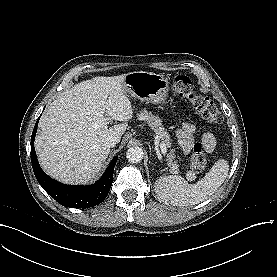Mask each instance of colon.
Wrapping results in <instances>:
<instances>
[{
    "label": "colon",
    "mask_w": 277,
    "mask_h": 277,
    "mask_svg": "<svg viewBox=\"0 0 277 277\" xmlns=\"http://www.w3.org/2000/svg\"><path fill=\"white\" fill-rule=\"evenodd\" d=\"M173 92L179 97L187 100L195 109L196 113L203 120L219 123L222 121L216 104L208 97L198 95L191 84V81L186 76H179L173 84ZM191 171L199 175L208 167V160L204 153V149L200 145H196L190 159Z\"/></svg>",
    "instance_id": "5ec220e1"
}]
</instances>
